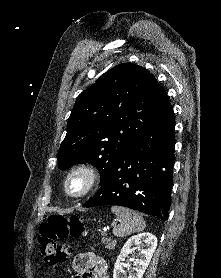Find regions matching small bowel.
Here are the masks:
<instances>
[{
	"label": "small bowel",
	"mask_w": 221,
	"mask_h": 278,
	"mask_svg": "<svg viewBox=\"0 0 221 278\" xmlns=\"http://www.w3.org/2000/svg\"><path fill=\"white\" fill-rule=\"evenodd\" d=\"M73 268L74 278H110L106 261L93 251L78 254Z\"/></svg>",
	"instance_id": "small-bowel-1"
}]
</instances>
